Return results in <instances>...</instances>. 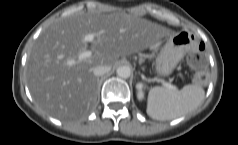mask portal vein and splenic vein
<instances>
[{
	"label": "portal vein and splenic vein",
	"instance_id": "portal-vein-and-splenic-vein-1",
	"mask_svg": "<svg viewBox=\"0 0 238 145\" xmlns=\"http://www.w3.org/2000/svg\"><path fill=\"white\" fill-rule=\"evenodd\" d=\"M95 39V36L94 34H87L85 37H84V40L86 42H92L93 40ZM92 55V52L91 51H85V52H82L80 55H79V59L82 60V59H85V58H88ZM75 63L74 60H69L67 62L68 65H73ZM162 84L168 88V89H173V90H177V87L172 85L171 83L167 82V81H162Z\"/></svg>",
	"mask_w": 238,
	"mask_h": 145
}]
</instances>
